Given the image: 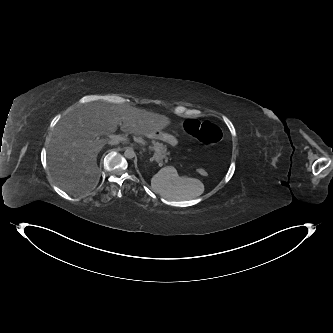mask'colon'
<instances>
[{
    "instance_id": "1",
    "label": "colon",
    "mask_w": 333,
    "mask_h": 333,
    "mask_svg": "<svg viewBox=\"0 0 333 333\" xmlns=\"http://www.w3.org/2000/svg\"><path fill=\"white\" fill-rule=\"evenodd\" d=\"M183 128L186 133L205 144L219 143L223 137L221 129L207 121L187 119L183 122ZM198 172L202 176L206 175V172L202 169H199Z\"/></svg>"
}]
</instances>
